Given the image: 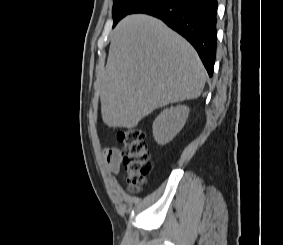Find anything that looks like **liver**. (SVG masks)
<instances>
[{
    "label": "liver",
    "mask_w": 283,
    "mask_h": 245,
    "mask_svg": "<svg viewBox=\"0 0 283 245\" xmlns=\"http://www.w3.org/2000/svg\"><path fill=\"white\" fill-rule=\"evenodd\" d=\"M205 81L183 37L149 15H128L114 29L100 77L102 119L112 128H134L157 108L198 98Z\"/></svg>",
    "instance_id": "1"
}]
</instances>
